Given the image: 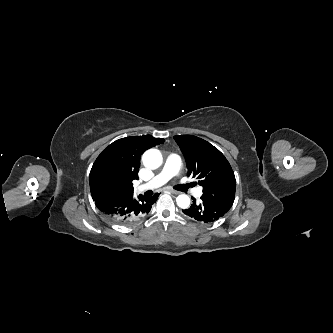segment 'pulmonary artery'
Returning a JSON list of instances; mask_svg holds the SVG:
<instances>
[{"label":"pulmonary artery","instance_id":"1","mask_svg":"<svg viewBox=\"0 0 333 333\" xmlns=\"http://www.w3.org/2000/svg\"><path fill=\"white\" fill-rule=\"evenodd\" d=\"M181 168V158L177 154H170L161 169V171L156 174L150 181L147 183L141 184L137 186L138 192H143L145 190L154 189L162 186L166 182H168L172 177L176 176ZM194 194L197 197L202 195V189L197 188L194 191Z\"/></svg>","mask_w":333,"mask_h":333}]
</instances>
